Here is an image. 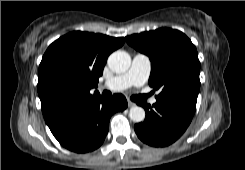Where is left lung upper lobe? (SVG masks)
I'll use <instances>...</instances> for the list:
<instances>
[{
    "label": "left lung upper lobe",
    "instance_id": "left-lung-upper-lobe-1",
    "mask_svg": "<svg viewBox=\"0 0 245 170\" xmlns=\"http://www.w3.org/2000/svg\"><path fill=\"white\" fill-rule=\"evenodd\" d=\"M127 43L151 60L149 85L161 90L157 101L196 108L200 62L196 47L182 32L169 28L125 37Z\"/></svg>",
    "mask_w": 245,
    "mask_h": 170
}]
</instances>
